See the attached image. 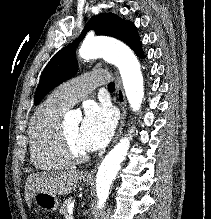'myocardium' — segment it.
Listing matches in <instances>:
<instances>
[{"label": "myocardium", "mask_w": 211, "mask_h": 219, "mask_svg": "<svg viewBox=\"0 0 211 219\" xmlns=\"http://www.w3.org/2000/svg\"><path fill=\"white\" fill-rule=\"evenodd\" d=\"M58 138L61 151L69 161L72 163H81L88 160V153L75 148L64 127H59Z\"/></svg>", "instance_id": "1"}]
</instances>
